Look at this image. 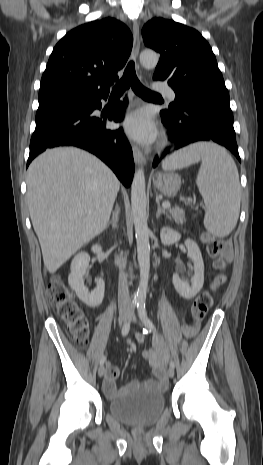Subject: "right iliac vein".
Instances as JSON below:
<instances>
[{
    "label": "right iliac vein",
    "instance_id": "right-iliac-vein-1",
    "mask_svg": "<svg viewBox=\"0 0 263 465\" xmlns=\"http://www.w3.org/2000/svg\"><path fill=\"white\" fill-rule=\"evenodd\" d=\"M128 313H129V312H128V310H126V309H123V310H121V311L119 312V321H120V323H123V322L126 321V319H127V317H128ZM104 374H105V367H104V365H101V366L99 367V370H98V376H99V377H103Z\"/></svg>",
    "mask_w": 263,
    "mask_h": 465
}]
</instances>
